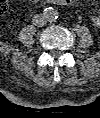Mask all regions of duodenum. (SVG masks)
<instances>
[{
	"label": "duodenum",
	"mask_w": 100,
	"mask_h": 118,
	"mask_svg": "<svg viewBox=\"0 0 100 118\" xmlns=\"http://www.w3.org/2000/svg\"><path fill=\"white\" fill-rule=\"evenodd\" d=\"M50 4H64L67 3L66 0H47Z\"/></svg>",
	"instance_id": "obj_1"
}]
</instances>
